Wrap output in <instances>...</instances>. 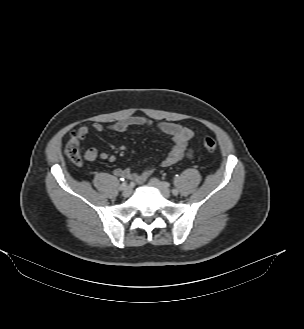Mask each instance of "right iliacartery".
I'll list each match as a JSON object with an SVG mask.
<instances>
[{"instance_id": "82829eb1", "label": "right iliac artery", "mask_w": 304, "mask_h": 329, "mask_svg": "<svg viewBox=\"0 0 304 329\" xmlns=\"http://www.w3.org/2000/svg\"><path fill=\"white\" fill-rule=\"evenodd\" d=\"M127 186V182L123 181L122 184L120 185V190H123Z\"/></svg>"}]
</instances>
